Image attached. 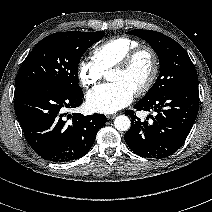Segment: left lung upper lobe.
I'll list each match as a JSON object with an SVG mask.
<instances>
[{"mask_svg":"<svg viewBox=\"0 0 212 212\" xmlns=\"http://www.w3.org/2000/svg\"><path fill=\"white\" fill-rule=\"evenodd\" d=\"M127 34L136 35L147 41L160 60L159 77L141 101L150 100L180 84L198 80L187 52L172 38L152 30L136 29Z\"/></svg>","mask_w":212,"mask_h":212,"instance_id":"left-lung-upper-lobe-1","label":"left lung upper lobe"}]
</instances>
